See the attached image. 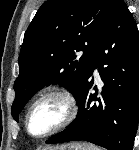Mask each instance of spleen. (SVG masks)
<instances>
[{
    "label": "spleen",
    "mask_w": 139,
    "mask_h": 150,
    "mask_svg": "<svg viewBox=\"0 0 139 150\" xmlns=\"http://www.w3.org/2000/svg\"><path fill=\"white\" fill-rule=\"evenodd\" d=\"M87 150H100V148L97 146L89 145L87 146Z\"/></svg>",
    "instance_id": "spleen-1"
}]
</instances>
